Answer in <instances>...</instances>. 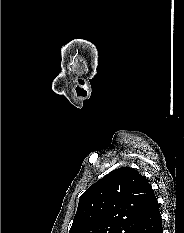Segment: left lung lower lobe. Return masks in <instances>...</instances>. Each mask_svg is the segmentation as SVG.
<instances>
[{
	"label": "left lung lower lobe",
	"instance_id": "left-lung-lower-lobe-1",
	"mask_svg": "<svg viewBox=\"0 0 184 233\" xmlns=\"http://www.w3.org/2000/svg\"><path fill=\"white\" fill-rule=\"evenodd\" d=\"M135 233H163L161 214L155 194Z\"/></svg>",
	"mask_w": 184,
	"mask_h": 233
}]
</instances>
